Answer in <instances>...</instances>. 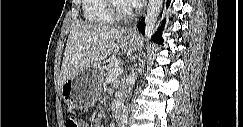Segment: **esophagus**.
I'll return each mask as SVG.
<instances>
[{"label":"esophagus","instance_id":"34e87169","mask_svg":"<svg viewBox=\"0 0 243 127\" xmlns=\"http://www.w3.org/2000/svg\"><path fill=\"white\" fill-rule=\"evenodd\" d=\"M136 33H137L136 26H133V27L130 29V34H136Z\"/></svg>","mask_w":243,"mask_h":127}]
</instances>
